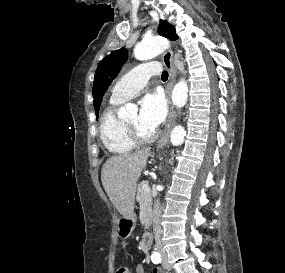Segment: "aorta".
<instances>
[{
    "instance_id": "1",
    "label": "aorta",
    "mask_w": 285,
    "mask_h": 273,
    "mask_svg": "<svg viewBox=\"0 0 285 273\" xmlns=\"http://www.w3.org/2000/svg\"><path fill=\"white\" fill-rule=\"evenodd\" d=\"M169 42L163 37H151L143 39L134 49V56L137 60L145 61L152 59L161 54ZM173 104L181 108L188 99V85L185 79H181L173 88L172 91ZM137 111L136 105L126 104L118 111L120 116H125L128 113ZM185 137V130L182 126H175L170 134L171 143L174 146H179L183 143Z\"/></svg>"
}]
</instances>
